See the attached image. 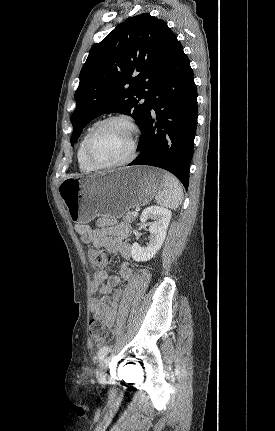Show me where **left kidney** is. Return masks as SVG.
<instances>
[{
    "mask_svg": "<svg viewBox=\"0 0 275 431\" xmlns=\"http://www.w3.org/2000/svg\"><path fill=\"white\" fill-rule=\"evenodd\" d=\"M171 216L170 210L159 206H150L143 210L140 217L141 222L144 223L149 218L153 219L154 222L149 227L150 237L147 247H142L137 242L132 244L133 260L137 262L148 261L155 256L165 240Z\"/></svg>",
    "mask_w": 275,
    "mask_h": 431,
    "instance_id": "obj_1",
    "label": "left kidney"
}]
</instances>
